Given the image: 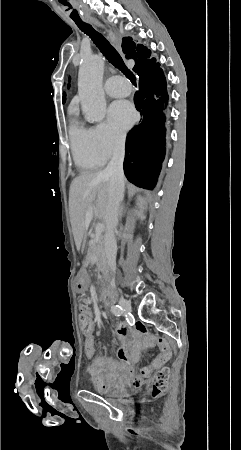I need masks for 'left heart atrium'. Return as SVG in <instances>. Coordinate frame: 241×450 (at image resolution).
Returning <instances> with one entry per match:
<instances>
[{"label":"left heart atrium","instance_id":"39dd6f15","mask_svg":"<svg viewBox=\"0 0 241 450\" xmlns=\"http://www.w3.org/2000/svg\"><path fill=\"white\" fill-rule=\"evenodd\" d=\"M108 118L113 127L125 131L135 122L136 113L129 101L117 100L109 107Z\"/></svg>","mask_w":241,"mask_h":450}]
</instances>
